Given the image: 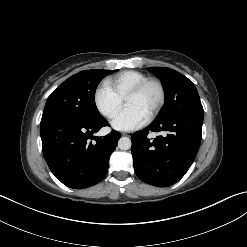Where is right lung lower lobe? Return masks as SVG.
Returning a JSON list of instances; mask_svg holds the SVG:
<instances>
[{"mask_svg": "<svg viewBox=\"0 0 247 247\" xmlns=\"http://www.w3.org/2000/svg\"><path fill=\"white\" fill-rule=\"evenodd\" d=\"M109 126L103 118L82 122L57 117L41 121L40 135L44 158L52 173L66 186L83 189L101 181L109 166V158L117 146L120 133L112 131L93 137ZM94 139V142H90Z\"/></svg>", "mask_w": 247, "mask_h": 247, "instance_id": "right-lung-lower-lobe-1", "label": "right lung lower lobe"}]
</instances>
